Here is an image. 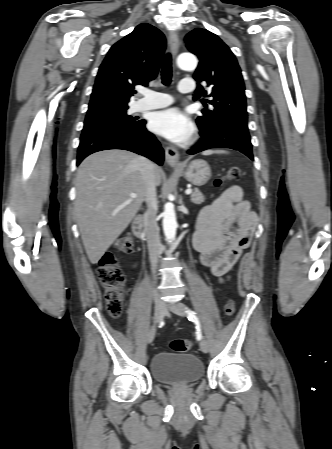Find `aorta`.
Returning <instances> with one entry per match:
<instances>
[{"label": "aorta", "instance_id": "obj_1", "mask_svg": "<svg viewBox=\"0 0 332 449\" xmlns=\"http://www.w3.org/2000/svg\"><path fill=\"white\" fill-rule=\"evenodd\" d=\"M178 67L182 70L193 71L197 67V59L190 53H183L178 56ZM163 231L169 242H172L176 235L177 221L174 205L168 202L164 206L163 211Z\"/></svg>", "mask_w": 332, "mask_h": 449}]
</instances>
